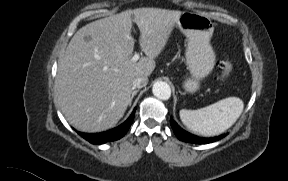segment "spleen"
<instances>
[{"mask_svg": "<svg viewBox=\"0 0 288 181\" xmlns=\"http://www.w3.org/2000/svg\"><path fill=\"white\" fill-rule=\"evenodd\" d=\"M240 98L228 97L197 110L182 109V123L192 132L202 136H215L230 128L243 112Z\"/></svg>", "mask_w": 288, "mask_h": 181, "instance_id": "obj_1", "label": "spleen"}]
</instances>
